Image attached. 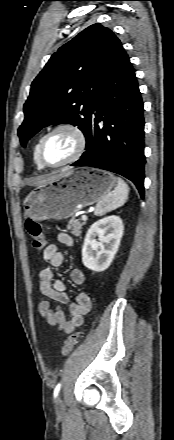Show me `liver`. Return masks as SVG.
<instances>
[{"label":"liver","instance_id":"1","mask_svg":"<svg viewBox=\"0 0 174 440\" xmlns=\"http://www.w3.org/2000/svg\"><path fill=\"white\" fill-rule=\"evenodd\" d=\"M55 177H56V176H52V177H49V178H46V179L39 180V181L36 182L35 184H36V185H42V184H45V183H47V182L53 180Z\"/></svg>","mask_w":174,"mask_h":440}]
</instances>
